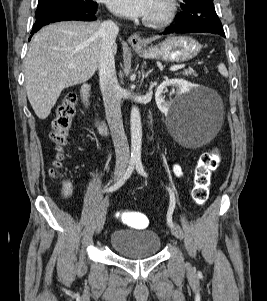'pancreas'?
<instances>
[{
    "label": "pancreas",
    "mask_w": 267,
    "mask_h": 301,
    "mask_svg": "<svg viewBox=\"0 0 267 301\" xmlns=\"http://www.w3.org/2000/svg\"><path fill=\"white\" fill-rule=\"evenodd\" d=\"M183 75L197 76V73L193 69H186L183 71Z\"/></svg>",
    "instance_id": "1"
}]
</instances>
